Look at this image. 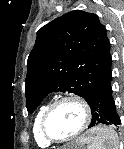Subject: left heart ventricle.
I'll return each mask as SVG.
<instances>
[{
    "instance_id": "1",
    "label": "left heart ventricle",
    "mask_w": 124,
    "mask_h": 149,
    "mask_svg": "<svg viewBox=\"0 0 124 149\" xmlns=\"http://www.w3.org/2000/svg\"><path fill=\"white\" fill-rule=\"evenodd\" d=\"M82 122V108L74 102H65L57 106L50 114L47 130L52 137L63 139L74 134Z\"/></svg>"
}]
</instances>
